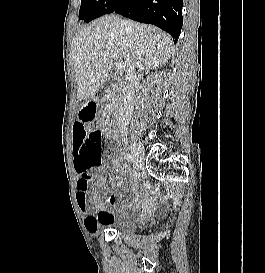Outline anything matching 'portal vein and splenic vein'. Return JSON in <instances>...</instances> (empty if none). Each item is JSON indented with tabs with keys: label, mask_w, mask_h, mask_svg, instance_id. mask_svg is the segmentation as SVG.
Segmentation results:
<instances>
[{
	"label": "portal vein and splenic vein",
	"mask_w": 265,
	"mask_h": 273,
	"mask_svg": "<svg viewBox=\"0 0 265 273\" xmlns=\"http://www.w3.org/2000/svg\"><path fill=\"white\" fill-rule=\"evenodd\" d=\"M105 56H107V55H105ZM109 57L115 59L114 55H112V54L111 55L109 54ZM125 67H126V65H125L124 61H116V63H115L116 70H123V69H125Z\"/></svg>",
	"instance_id": "obj_1"
}]
</instances>
